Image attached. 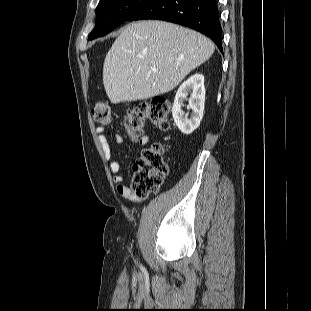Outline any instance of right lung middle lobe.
I'll return each mask as SVG.
<instances>
[{
	"label": "right lung middle lobe",
	"mask_w": 311,
	"mask_h": 311,
	"mask_svg": "<svg viewBox=\"0 0 311 311\" xmlns=\"http://www.w3.org/2000/svg\"><path fill=\"white\" fill-rule=\"evenodd\" d=\"M152 1L154 0H100L96 8V25L88 39L109 33Z\"/></svg>",
	"instance_id": "dd1d6c3e"
}]
</instances>
